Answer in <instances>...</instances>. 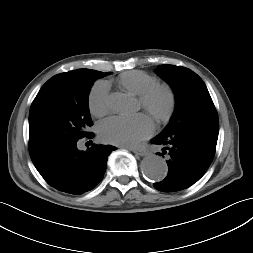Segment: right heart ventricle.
<instances>
[{
	"label": "right heart ventricle",
	"mask_w": 253,
	"mask_h": 253,
	"mask_svg": "<svg viewBox=\"0 0 253 253\" xmlns=\"http://www.w3.org/2000/svg\"><path fill=\"white\" fill-rule=\"evenodd\" d=\"M118 82L125 90L138 96L158 83L156 77L139 70L121 74Z\"/></svg>",
	"instance_id": "1"
}]
</instances>
